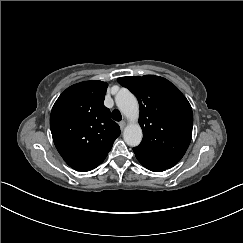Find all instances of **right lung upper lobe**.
<instances>
[{
  "label": "right lung upper lobe",
  "instance_id": "cb5924a9",
  "mask_svg": "<svg viewBox=\"0 0 243 243\" xmlns=\"http://www.w3.org/2000/svg\"><path fill=\"white\" fill-rule=\"evenodd\" d=\"M108 84L86 81L67 88L50 115L54 144L65 162L77 171L96 168L106 158L120 127L104 106Z\"/></svg>",
  "mask_w": 243,
  "mask_h": 243
}]
</instances>
